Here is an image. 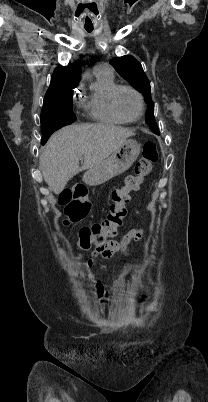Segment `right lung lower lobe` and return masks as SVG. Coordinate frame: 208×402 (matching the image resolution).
<instances>
[{
  "instance_id": "obj_1",
  "label": "right lung lower lobe",
  "mask_w": 208,
  "mask_h": 402,
  "mask_svg": "<svg viewBox=\"0 0 208 402\" xmlns=\"http://www.w3.org/2000/svg\"><path fill=\"white\" fill-rule=\"evenodd\" d=\"M65 126V124L54 120V121H42L41 122V129H42V134L45 136L46 140L51 136V134L58 130L59 128Z\"/></svg>"
}]
</instances>
